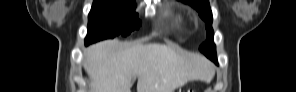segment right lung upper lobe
Returning a JSON list of instances; mask_svg holds the SVG:
<instances>
[{"label": "right lung upper lobe", "mask_w": 296, "mask_h": 92, "mask_svg": "<svg viewBox=\"0 0 296 92\" xmlns=\"http://www.w3.org/2000/svg\"><path fill=\"white\" fill-rule=\"evenodd\" d=\"M128 1H132V2H135V0H128Z\"/></svg>", "instance_id": "cb5924a9"}]
</instances>
